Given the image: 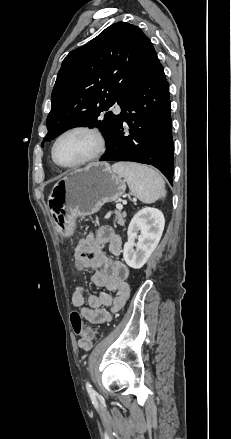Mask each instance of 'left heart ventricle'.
<instances>
[{
    "instance_id": "1",
    "label": "left heart ventricle",
    "mask_w": 231,
    "mask_h": 439,
    "mask_svg": "<svg viewBox=\"0 0 231 439\" xmlns=\"http://www.w3.org/2000/svg\"><path fill=\"white\" fill-rule=\"evenodd\" d=\"M96 139L86 132L64 136L57 145L56 155L62 164H73L89 157L96 150Z\"/></svg>"
}]
</instances>
